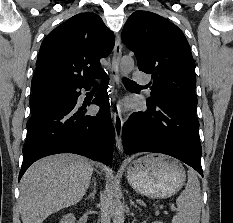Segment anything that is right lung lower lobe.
Instances as JSON below:
<instances>
[{
  "mask_svg": "<svg viewBox=\"0 0 233 223\" xmlns=\"http://www.w3.org/2000/svg\"><path fill=\"white\" fill-rule=\"evenodd\" d=\"M108 77L92 101L101 106L96 115L86 114L80 106L77 89H89L93 83L53 88L35 94L43 105L27 122V138L23 146V164L19 180L36 160L58 153H75L104 164L112 163L115 130L110 118Z\"/></svg>",
  "mask_w": 233,
  "mask_h": 223,
  "instance_id": "obj_1",
  "label": "right lung lower lobe"
}]
</instances>
